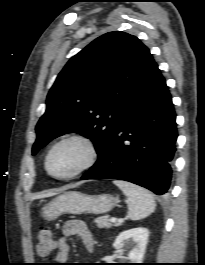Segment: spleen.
<instances>
[{
	"label": "spleen",
	"instance_id": "obj_1",
	"mask_svg": "<svg viewBox=\"0 0 205 265\" xmlns=\"http://www.w3.org/2000/svg\"><path fill=\"white\" fill-rule=\"evenodd\" d=\"M114 184L128 197V216L131 220L143 219L154 212L155 200L146 189L120 180H115Z\"/></svg>",
	"mask_w": 205,
	"mask_h": 265
}]
</instances>
